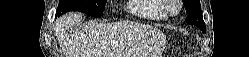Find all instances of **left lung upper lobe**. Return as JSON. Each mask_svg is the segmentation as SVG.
<instances>
[{"instance_id":"left-lung-upper-lobe-1","label":"left lung upper lobe","mask_w":249,"mask_h":57,"mask_svg":"<svg viewBox=\"0 0 249 57\" xmlns=\"http://www.w3.org/2000/svg\"><path fill=\"white\" fill-rule=\"evenodd\" d=\"M186 12L188 13L185 21L194 24L201 30H205V24L202 18L201 6L199 0H183Z\"/></svg>"}]
</instances>
